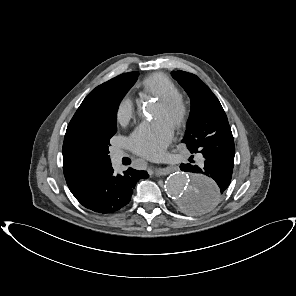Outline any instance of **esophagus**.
Here are the masks:
<instances>
[{"instance_id":"obj_1","label":"esophagus","mask_w":296,"mask_h":296,"mask_svg":"<svg viewBox=\"0 0 296 296\" xmlns=\"http://www.w3.org/2000/svg\"><path fill=\"white\" fill-rule=\"evenodd\" d=\"M170 167V163L168 164H158L152 159L149 163L150 170L155 173L157 176H164L173 171Z\"/></svg>"}]
</instances>
